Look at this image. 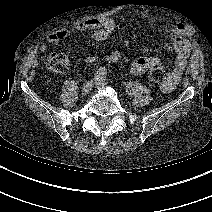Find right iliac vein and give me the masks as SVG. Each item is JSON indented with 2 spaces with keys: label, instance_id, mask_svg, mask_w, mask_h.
I'll use <instances>...</instances> for the list:
<instances>
[{
  "label": "right iliac vein",
  "instance_id": "obj_1",
  "mask_svg": "<svg viewBox=\"0 0 212 212\" xmlns=\"http://www.w3.org/2000/svg\"><path fill=\"white\" fill-rule=\"evenodd\" d=\"M97 79L98 78H96L94 81L93 80L87 81L81 89L82 94L84 95L88 94L92 90V87Z\"/></svg>",
  "mask_w": 212,
  "mask_h": 212
}]
</instances>
